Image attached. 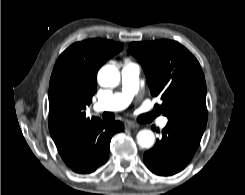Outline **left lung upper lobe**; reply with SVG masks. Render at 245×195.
I'll return each instance as SVG.
<instances>
[{
  "instance_id": "1",
  "label": "left lung upper lobe",
  "mask_w": 245,
  "mask_h": 195,
  "mask_svg": "<svg viewBox=\"0 0 245 195\" xmlns=\"http://www.w3.org/2000/svg\"><path fill=\"white\" fill-rule=\"evenodd\" d=\"M129 52L142 65L152 96L161 98L162 113L168 122L204 131L206 83L192 53L171 40L132 42Z\"/></svg>"
}]
</instances>
